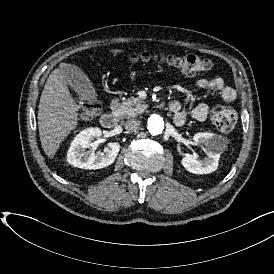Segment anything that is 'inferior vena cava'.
<instances>
[{
    "label": "inferior vena cava",
    "instance_id": "inferior-vena-cava-1",
    "mask_svg": "<svg viewBox=\"0 0 274 274\" xmlns=\"http://www.w3.org/2000/svg\"><path fill=\"white\" fill-rule=\"evenodd\" d=\"M140 125H141L140 120L131 118L125 122L124 127L128 131H136L137 129H139Z\"/></svg>",
    "mask_w": 274,
    "mask_h": 274
}]
</instances>
